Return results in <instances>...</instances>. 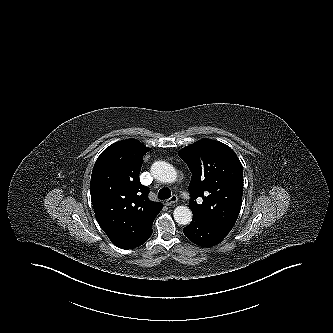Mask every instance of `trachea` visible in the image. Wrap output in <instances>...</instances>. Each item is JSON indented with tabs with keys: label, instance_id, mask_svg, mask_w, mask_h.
Segmentation results:
<instances>
[{
	"label": "trachea",
	"instance_id": "3493384b",
	"mask_svg": "<svg viewBox=\"0 0 333 333\" xmlns=\"http://www.w3.org/2000/svg\"><path fill=\"white\" fill-rule=\"evenodd\" d=\"M171 197V191L168 188H162L160 189L159 193H158V198L165 200Z\"/></svg>",
	"mask_w": 333,
	"mask_h": 333
}]
</instances>
